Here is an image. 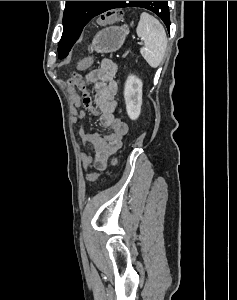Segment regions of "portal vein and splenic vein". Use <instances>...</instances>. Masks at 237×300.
Segmentation results:
<instances>
[{
  "label": "portal vein and splenic vein",
  "instance_id": "1",
  "mask_svg": "<svg viewBox=\"0 0 237 300\" xmlns=\"http://www.w3.org/2000/svg\"><path fill=\"white\" fill-rule=\"evenodd\" d=\"M138 45H142V43H138Z\"/></svg>",
  "mask_w": 237,
  "mask_h": 300
}]
</instances>
